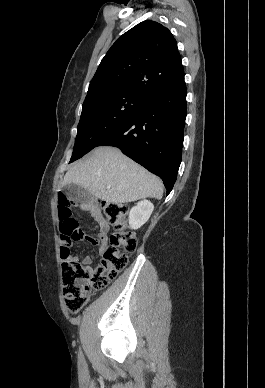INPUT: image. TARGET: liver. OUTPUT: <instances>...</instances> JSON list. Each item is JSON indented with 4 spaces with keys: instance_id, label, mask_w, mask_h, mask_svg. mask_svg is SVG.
Returning <instances> with one entry per match:
<instances>
[{
    "instance_id": "liver-1",
    "label": "liver",
    "mask_w": 265,
    "mask_h": 388,
    "mask_svg": "<svg viewBox=\"0 0 265 388\" xmlns=\"http://www.w3.org/2000/svg\"><path fill=\"white\" fill-rule=\"evenodd\" d=\"M77 184L87 192L112 204L135 202L142 198L163 196V184L133 160L124 156L118 148L100 146L85 162L74 164L61 186Z\"/></svg>"
}]
</instances>
